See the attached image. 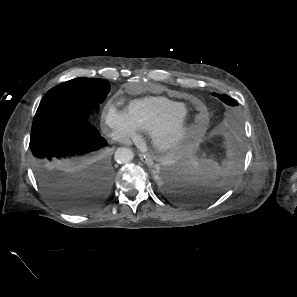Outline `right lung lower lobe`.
Segmentation results:
<instances>
[{
	"label": "right lung lower lobe",
	"instance_id": "obj_1",
	"mask_svg": "<svg viewBox=\"0 0 297 297\" xmlns=\"http://www.w3.org/2000/svg\"><path fill=\"white\" fill-rule=\"evenodd\" d=\"M107 145L84 117L58 118L32 129L36 178L56 206L86 213L102 205L114 174Z\"/></svg>",
	"mask_w": 297,
	"mask_h": 297
}]
</instances>
